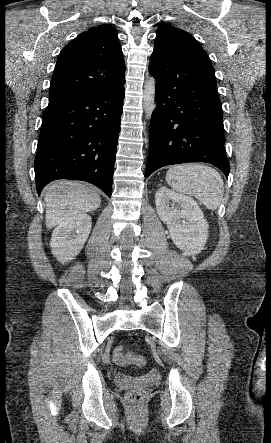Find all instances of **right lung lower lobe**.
I'll return each instance as SVG.
<instances>
[{
  "label": "right lung lower lobe",
  "mask_w": 271,
  "mask_h": 443,
  "mask_svg": "<svg viewBox=\"0 0 271 443\" xmlns=\"http://www.w3.org/2000/svg\"><path fill=\"white\" fill-rule=\"evenodd\" d=\"M124 83L49 100L34 164L39 195L49 182L71 179L111 197Z\"/></svg>",
  "instance_id": "obj_1"
}]
</instances>
